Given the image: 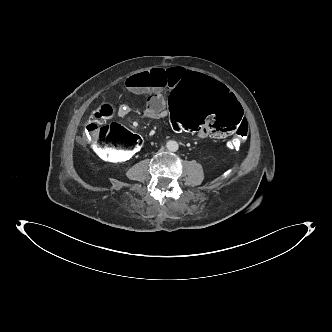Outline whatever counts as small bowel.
<instances>
[{
    "label": "small bowel",
    "instance_id": "c3829d8e",
    "mask_svg": "<svg viewBox=\"0 0 332 332\" xmlns=\"http://www.w3.org/2000/svg\"><path fill=\"white\" fill-rule=\"evenodd\" d=\"M184 76L185 71L181 68H153L127 78L125 87L127 91L133 94H149L144 115L148 119H160L166 117L168 104L166 93H171L179 80ZM130 112L131 108L128 105H121L118 108L119 117H124ZM198 137L202 139L208 138L199 134Z\"/></svg>",
    "mask_w": 332,
    "mask_h": 332
}]
</instances>
